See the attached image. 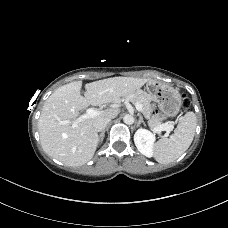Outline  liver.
<instances>
[{
  "mask_svg": "<svg viewBox=\"0 0 228 228\" xmlns=\"http://www.w3.org/2000/svg\"><path fill=\"white\" fill-rule=\"evenodd\" d=\"M150 81L153 80L133 77L103 79L87 83L85 97L81 95V81L59 87L47 99L38 120L43 150L67 166L84 165L92 159L98 146L95 121L115 118L119 110L108 109L93 118L78 121L82 116L80 111L89 105L101 106L117 102Z\"/></svg>",
  "mask_w": 228,
  "mask_h": 228,
  "instance_id": "6515ba94",
  "label": "liver"
}]
</instances>
